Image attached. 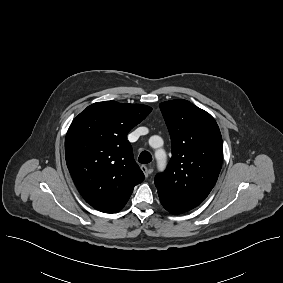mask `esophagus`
Here are the masks:
<instances>
[{
  "instance_id": "esophagus-1",
  "label": "esophagus",
  "mask_w": 283,
  "mask_h": 283,
  "mask_svg": "<svg viewBox=\"0 0 283 283\" xmlns=\"http://www.w3.org/2000/svg\"><path fill=\"white\" fill-rule=\"evenodd\" d=\"M141 170L143 171L145 177H148V176H149L150 169H149L147 166L142 165V166H141Z\"/></svg>"
}]
</instances>
